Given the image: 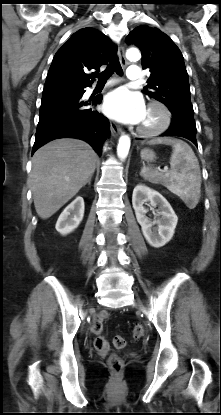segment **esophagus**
<instances>
[{
	"label": "esophagus",
	"instance_id": "esophagus-1",
	"mask_svg": "<svg viewBox=\"0 0 221 415\" xmlns=\"http://www.w3.org/2000/svg\"><path fill=\"white\" fill-rule=\"evenodd\" d=\"M118 57L119 60L121 62L122 65H126L127 64V60L125 58V49L123 45H120L118 48ZM110 128H111V132L113 134V136H118L120 134H122V128L119 127L118 125H116L114 122L110 123Z\"/></svg>",
	"mask_w": 221,
	"mask_h": 415
}]
</instances>
